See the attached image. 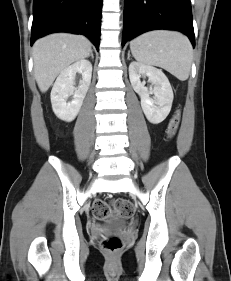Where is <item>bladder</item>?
Instances as JSON below:
<instances>
[{"label":"bladder","instance_id":"1","mask_svg":"<svg viewBox=\"0 0 231 281\" xmlns=\"http://www.w3.org/2000/svg\"><path fill=\"white\" fill-rule=\"evenodd\" d=\"M127 225L125 220H111L110 223L107 224L109 228H124Z\"/></svg>","mask_w":231,"mask_h":281}]
</instances>
